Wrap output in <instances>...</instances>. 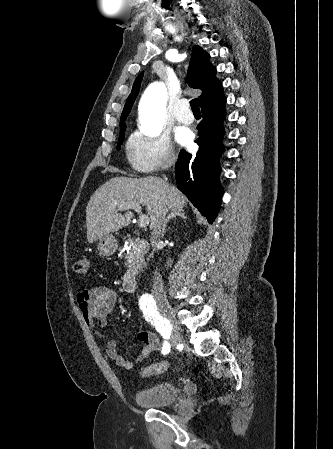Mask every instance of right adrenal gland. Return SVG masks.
Wrapping results in <instances>:
<instances>
[{
  "instance_id": "1",
  "label": "right adrenal gland",
  "mask_w": 333,
  "mask_h": 449,
  "mask_svg": "<svg viewBox=\"0 0 333 449\" xmlns=\"http://www.w3.org/2000/svg\"><path fill=\"white\" fill-rule=\"evenodd\" d=\"M176 216H179V217H181V218H183V219H187V216L185 215V212H184L183 209L172 211V212L168 215L167 219H165V221H164L163 228H162V234L165 233L166 226H167L168 222H169L172 218H175Z\"/></svg>"
}]
</instances>
